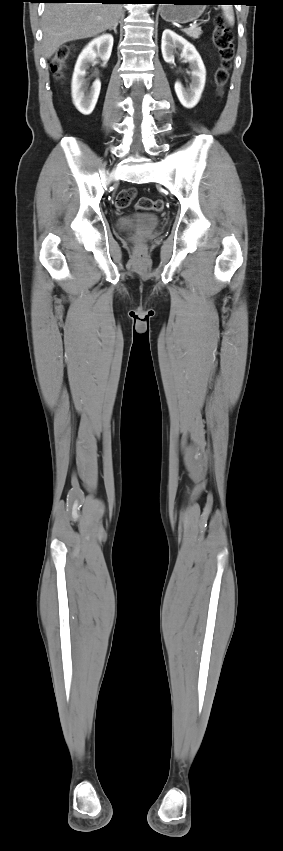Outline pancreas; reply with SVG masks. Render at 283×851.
<instances>
[{
	"label": "pancreas",
	"instance_id": "obj_1",
	"mask_svg": "<svg viewBox=\"0 0 283 851\" xmlns=\"http://www.w3.org/2000/svg\"><path fill=\"white\" fill-rule=\"evenodd\" d=\"M183 32L193 39H198L199 36L202 34V30L200 27L184 29Z\"/></svg>",
	"mask_w": 283,
	"mask_h": 851
}]
</instances>
